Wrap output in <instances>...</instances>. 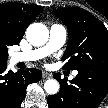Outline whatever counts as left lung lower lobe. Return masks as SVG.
Here are the masks:
<instances>
[{
	"instance_id": "left-lung-lower-lobe-1",
	"label": "left lung lower lobe",
	"mask_w": 108,
	"mask_h": 108,
	"mask_svg": "<svg viewBox=\"0 0 108 108\" xmlns=\"http://www.w3.org/2000/svg\"><path fill=\"white\" fill-rule=\"evenodd\" d=\"M54 77L60 91L47 99L49 108H97L108 91V68L78 71L70 84L60 74Z\"/></svg>"
}]
</instances>
